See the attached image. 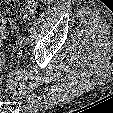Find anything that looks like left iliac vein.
<instances>
[{
  "instance_id": "4c4485c4",
  "label": "left iliac vein",
  "mask_w": 113,
  "mask_h": 113,
  "mask_svg": "<svg viewBox=\"0 0 113 113\" xmlns=\"http://www.w3.org/2000/svg\"><path fill=\"white\" fill-rule=\"evenodd\" d=\"M16 44H17V47L23 48V47L26 45V39L21 38V39H19V40L17 41Z\"/></svg>"
}]
</instances>
